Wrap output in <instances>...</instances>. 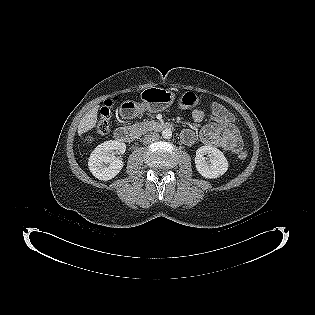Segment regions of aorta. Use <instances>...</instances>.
Masks as SVG:
<instances>
[{"label": "aorta", "mask_w": 315, "mask_h": 315, "mask_svg": "<svg viewBox=\"0 0 315 315\" xmlns=\"http://www.w3.org/2000/svg\"><path fill=\"white\" fill-rule=\"evenodd\" d=\"M162 137L164 139H170L172 137V131L170 129H165L162 131Z\"/></svg>", "instance_id": "762f6f07"}]
</instances>
